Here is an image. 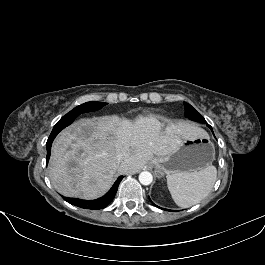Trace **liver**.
Returning a JSON list of instances; mask_svg holds the SVG:
<instances>
[{"label":"liver","mask_w":265,"mask_h":265,"mask_svg":"<svg viewBox=\"0 0 265 265\" xmlns=\"http://www.w3.org/2000/svg\"><path fill=\"white\" fill-rule=\"evenodd\" d=\"M163 127L153 115L133 122L115 115L74 122L52 145L51 184L64 196L96 199L110 189L116 173L134 174L154 155L170 154L182 138L205 133L182 121ZM119 154L124 156L120 167Z\"/></svg>","instance_id":"obj_1"}]
</instances>
